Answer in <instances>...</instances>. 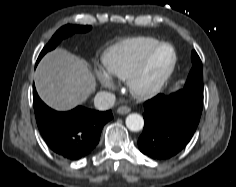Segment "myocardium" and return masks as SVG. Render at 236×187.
I'll list each match as a JSON object with an SVG mask.
<instances>
[{
  "instance_id": "myocardium-1",
  "label": "myocardium",
  "mask_w": 236,
  "mask_h": 187,
  "mask_svg": "<svg viewBox=\"0 0 236 187\" xmlns=\"http://www.w3.org/2000/svg\"><path fill=\"white\" fill-rule=\"evenodd\" d=\"M163 47L170 48L172 52V59L169 65L166 67V69L161 73V75L156 79L154 83H152L149 86H143L141 84V80L143 75L145 74V71L149 65L151 58L158 50H160ZM176 64H177V52L175 48L170 43L159 42L143 55V57L137 63L133 71L127 77L126 80H127L128 90L133 96L140 99H147L156 96L162 91V89L172 76Z\"/></svg>"
}]
</instances>
